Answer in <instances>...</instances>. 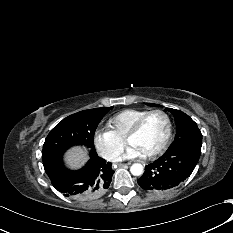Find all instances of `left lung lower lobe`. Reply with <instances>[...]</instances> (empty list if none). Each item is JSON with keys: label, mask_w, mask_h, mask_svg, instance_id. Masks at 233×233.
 <instances>
[{"label": "left lung lower lobe", "mask_w": 233, "mask_h": 233, "mask_svg": "<svg viewBox=\"0 0 233 233\" xmlns=\"http://www.w3.org/2000/svg\"><path fill=\"white\" fill-rule=\"evenodd\" d=\"M200 154L201 150L197 148L167 149L159 159L145 166V172L137 182L148 191L172 189L191 175Z\"/></svg>", "instance_id": "left-lung-lower-lobe-1"}]
</instances>
